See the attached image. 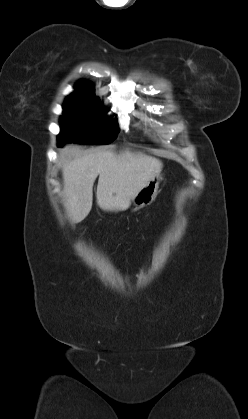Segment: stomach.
Returning a JSON list of instances; mask_svg holds the SVG:
<instances>
[{"instance_id": "obj_1", "label": "stomach", "mask_w": 248, "mask_h": 419, "mask_svg": "<svg viewBox=\"0 0 248 419\" xmlns=\"http://www.w3.org/2000/svg\"><path fill=\"white\" fill-rule=\"evenodd\" d=\"M162 179L160 173L150 180L132 199L134 206L142 208L152 203L157 195L159 182Z\"/></svg>"}]
</instances>
